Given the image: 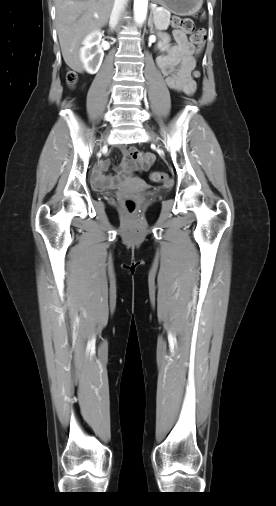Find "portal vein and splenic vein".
Here are the masks:
<instances>
[{
	"mask_svg": "<svg viewBox=\"0 0 276 506\" xmlns=\"http://www.w3.org/2000/svg\"><path fill=\"white\" fill-rule=\"evenodd\" d=\"M157 10H160L161 8H156Z\"/></svg>",
	"mask_w": 276,
	"mask_h": 506,
	"instance_id": "portal-vein-and-splenic-vein-1",
	"label": "portal vein and splenic vein"
}]
</instances>
